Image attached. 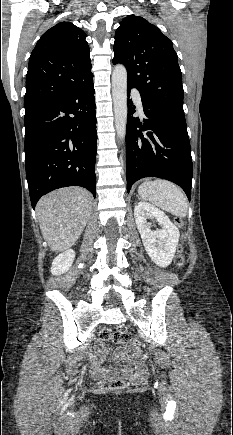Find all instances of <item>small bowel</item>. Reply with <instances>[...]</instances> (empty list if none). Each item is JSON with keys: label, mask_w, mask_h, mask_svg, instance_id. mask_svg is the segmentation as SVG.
Instances as JSON below:
<instances>
[{"label": "small bowel", "mask_w": 233, "mask_h": 435, "mask_svg": "<svg viewBox=\"0 0 233 435\" xmlns=\"http://www.w3.org/2000/svg\"><path fill=\"white\" fill-rule=\"evenodd\" d=\"M97 348H98V354L102 356L105 352L104 344L101 342L98 343ZM113 357L114 360L128 358L131 361V367L127 369L128 374H143L146 371V367L143 365L141 361V354L137 349L129 351L125 347H118L113 351ZM111 372L112 370L103 367L102 359H100L99 361H95L91 365V374L96 379L104 377L105 375Z\"/></svg>", "instance_id": "1"}]
</instances>
